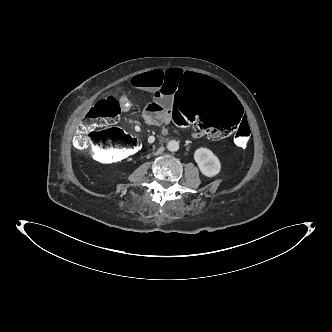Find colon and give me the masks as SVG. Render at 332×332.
Here are the masks:
<instances>
[{"mask_svg": "<svg viewBox=\"0 0 332 332\" xmlns=\"http://www.w3.org/2000/svg\"><path fill=\"white\" fill-rule=\"evenodd\" d=\"M122 102L106 97L88 111L75 138L77 147L89 149L103 163L127 159L137 154L140 141L121 129L107 131L103 127L114 122L121 113ZM173 119L182 129L194 127L208 139L223 141L233 137L238 147H246L250 127L241 121L238 100L217 80L202 73H192L177 84L173 100Z\"/></svg>", "mask_w": 332, "mask_h": 332, "instance_id": "1", "label": "colon"}]
</instances>
